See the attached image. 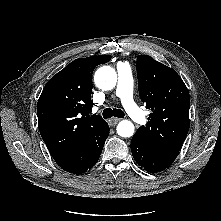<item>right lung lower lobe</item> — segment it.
Here are the masks:
<instances>
[{
	"instance_id": "1",
	"label": "right lung lower lobe",
	"mask_w": 221,
	"mask_h": 221,
	"mask_svg": "<svg viewBox=\"0 0 221 221\" xmlns=\"http://www.w3.org/2000/svg\"><path fill=\"white\" fill-rule=\"evenodd\" d=\"M108 135L109 126L105 123L91 133L80 145L56 160V163L63 170L73 174L87 172L97 163Z\"/></svg>"
}]
</instances>
